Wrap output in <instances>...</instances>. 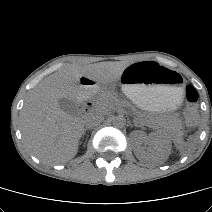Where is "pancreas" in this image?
Here are the masks:
<instances>
[{
	"instance_id": "1",
	"label": "pancreas",
	"mask_w": 212,
	"mask_h": 212,
	"mask_svg": "<svg viewBox=\"0 0 212 212\" xmlns=\"http://www.w3.org/2000/svg\"><path fill=\"white\" fill-rule=\"evenodd\" d=\"M100 104L104 105L106 107H112L114 105H117L119 100L113 96L112 94L109 93H104L100 96L99 98ZM140 121L144 122V123H148V124H153L154 121L150 120V119H145V118H141Z\"/></svg>"
}]
</instances>
